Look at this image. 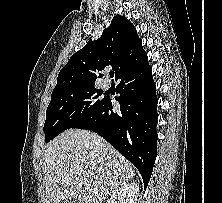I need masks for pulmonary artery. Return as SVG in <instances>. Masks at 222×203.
Instances as JSON below:
<instances>
[{
  "instance_id": "pulmonary-artery-1",
  "label": "pulmonary artery",
  "mask_w": 222,
  "mask_h": 203,
  "mask_svg": "<svg viewBox=\"0 0 222 203\" xmlns=\"http://www.w3.org/2000/svg\"><path fill=\"white\" fill-rule=\"evenodd\" d=\"M102 85H103V87H104L105 89H108V88H110V86H111V82H110L109 79H104Z\"/></svg>"
}]
</instances>
